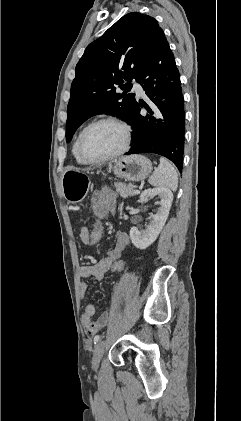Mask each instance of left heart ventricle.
I'll return each mask as SVG.
<instances>
[{"label": "left heart ventricle", "instance_id": "1", "mask_svg": "<svg viewBox=\"0 0 241 421\" xmlns=\"http://www.w3.org/2000/svg\"><path fill=\"white\" fill-rule=\"evenodd\" d=\"M122 143V129L111 123H103L87 133L84 140V151L88 157L99 159L117 151Z\"/></svg>", "mask_w": 241, "mask_h": 421}]
</instances>
